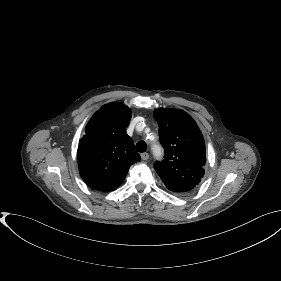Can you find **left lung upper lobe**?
Instances as JSON below:
<instances>
[{"label":"left lung upper lobe","instance_id":"5c2ea615","mask_svg":"<svg viewBox=\"0 0 281 281\" xmlns=\"http://www.w3.org/2000/svg\"><path fill=\"white\" fill-rule=\"evenodd\" d=\"M159 137L165 149L162 162L154 168L172 192L187 194L200 184L205 173V142L193 118L179 109L154 111Z\"/></svg>","mask_w":281,"mask_h":281}]
</instances>
